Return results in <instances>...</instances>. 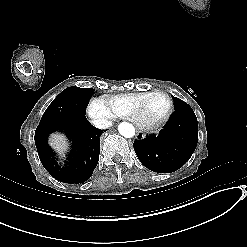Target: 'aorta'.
Returning a JSON list of instances; mask_svg holds the SVG:
<instances>
[{
	"label": "aorta",
	"instance_id": "1",
	"mask_svg": "<svg viewBox=\"0 0 247 247\" xmlns=\"http://www.w3.org/2000/svg\"><path fill=\"white\" fill-rule=\"evenodd\" d=\"M119 133L126 137V138H132L135 135V129L134 126L127 122H122L118 126Z\"/></svg>",
	"mask_w": 247,
	"mask_h": 247
}]
</instances>
